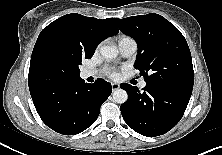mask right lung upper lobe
<instances>
[{"mask_svg": "<svg viewBox=\"0 0 222 155\" xmlns=\"http://www.w3.org/2000/svg\"><path fill=\"white\" fill-rule=\"evenodd\" d=\"M115 19L100 20L71 13L58 18L45 27L38 36L31 56L28 75L30 93L47 92L59 78H62L46 59L45 48L52 37L65 34L83 54L92 57L97 45L102 40L119 32Z\"/></svg>", "mask_w": 222, "mask_h": 155, "instance_id": "cb5924a9", "label": "right lung upper lobe"}]
</instances>
